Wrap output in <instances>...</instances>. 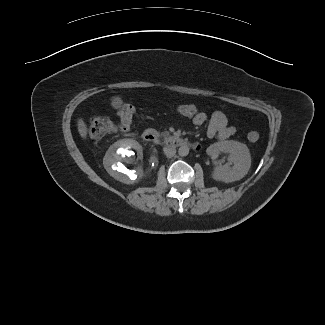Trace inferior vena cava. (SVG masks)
I'll list each match as a JSON object with an SVG mask.
<instances>
[{
  "instance_id": "inferior-vena-cava-1",
  "label": "inferior vena cava",
  "mask_w": 325,
  "mask_h": 325,
  "mask_svg": "<svg viewBox=\"0 0 325 325\" xmlns=\"http://www.w3.org/2000/svg\"><path fill=\"white\" fill-rule=\"evenodd\" d=\"M164 153L168 158H172L176 154V150L172 147L166 146L164 147Z\"/></svg>"
}]
</instances>
